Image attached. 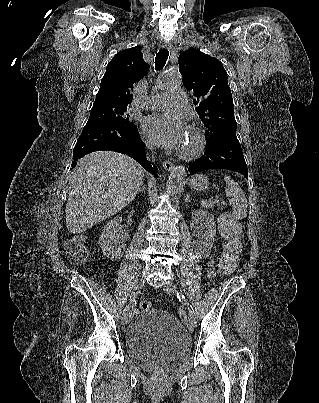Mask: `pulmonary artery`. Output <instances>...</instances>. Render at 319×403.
I'll use <instances>...</instances> for the list:
<instances>
[{
	"mask_svg": "<svg viewBox=\"0 0 319 403\" xmlns=\"http://www.w3.org/2000/svg\"><path fill=\"white\" fill-rule=\"evenodd\" d=\"M186 106L187 98L184 91L180 88L154 95L146 102V107L150 109L184 108Z\"/></svg>",
	"mask_w": 319,
	"mask_h": 403,
	"instance_id": "1",
	"label": "pulmonary artery"
}]
</instances>
